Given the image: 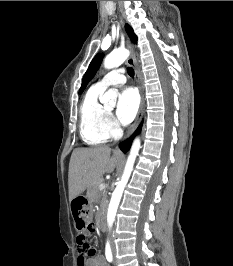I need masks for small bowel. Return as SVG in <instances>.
I'll list each match as a JSON object with an SVG mask.
<instances>
[{"label":"small bowel","instance_id":"small-bowel-1","mask_svg":"<svg viewBox=\"0 0 233 266\" xmlns=\"http://www.w3.org/2000/svg\"><path fill=\"white\" fill-rule=\"evenodd\" d=\"M78 266H105V259L102 255H95L85 259L83 264H80L78 257Z\"/></svg>","mask_w":233,"mask_h":266}]
</instances>
